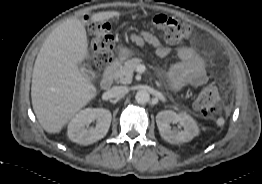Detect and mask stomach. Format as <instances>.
<instances>
[{"label":"stomach","instance_id":"0dacf381","mask_svg":"<svg viewBox=\"0 0 262 184\" xmlns=\"http://www.w3.org/2000/svg\"><path fill=\"white\" fill-rule=\"evenodd\" d=\"M118 55L121 59H126L128 57H130L131 55H133V51L128 48V47H120Z\"/></svg>","mask_w":262,"mask_h":184}]
</instances>
